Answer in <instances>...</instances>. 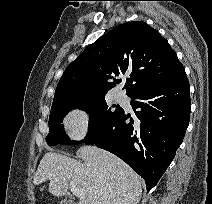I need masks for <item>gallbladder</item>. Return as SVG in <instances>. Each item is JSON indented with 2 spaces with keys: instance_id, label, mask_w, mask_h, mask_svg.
Masks as SVG:
<instances>
[{
  "instance_id": "obj_1",
  "label": "gallbladder",
  "mask_w": 212,
  "mask_h": 204,
  "mask_svg": "<svg viewBox=\"0 0 212 204\" xmlns=\"http://www.w3.org/2000/svg\"><path fill=\"white\" fill-rule=\"evenodd\" d=\"M60 204H73V203L68 199H63L60 201Z\"/></svg>"
}]
</instances>
